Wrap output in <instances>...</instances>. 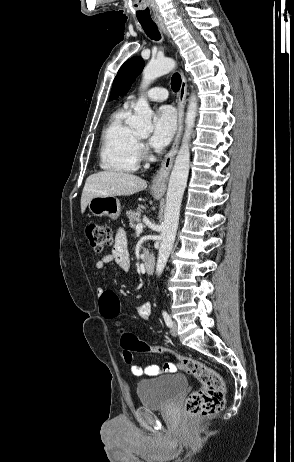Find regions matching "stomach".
<instances>
[{
  "mask_svg": "<svg viewBox=\"0 0 294 462\" xmlns=\"http://www.w3.org/2000/svg\"><path fill=\"white\" fill-rule=\"evenodd\" d=\"M152 195L156 199L161 197L158 192H152ZM88 209L94 216H108L112 220H116L121 212L120 202L115 196H96L88 203Z\"/></svg>",
  "mask_w": 294,
  "mask_h": 462,
  "instance_id": "obj_1",
  "label": "stomach"
}]
</instances>
